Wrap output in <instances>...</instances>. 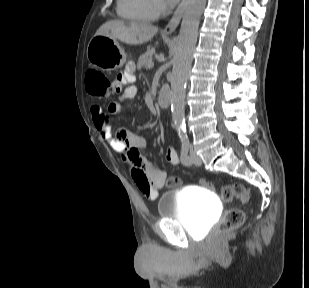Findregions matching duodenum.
<instances>
[{"label":"duodenum","mask_w":309,"mask_h":288,"mask_svg":"<svg viewBox=\"0 0 309 288\" xmlns=\"http://www.w3.org/2000/svg\"><path fill=\"white\" fill-rule=\"evenodd\" d=\"M172 100V95L167 87H163L158 96V105L163 109H168Z\"/></svg>","instance_id":"410a0bca"}]
</instances>
